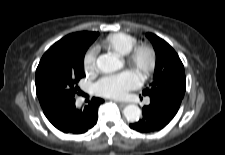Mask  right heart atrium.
Returning a JSON list of instances; mask_svg holds the SVG:
<instances>
[{"label":"right heart atrium","mask_w":225,"mask_h":155,"mask_svg":"<svg viewBox=\"0 0 225 155\" xmlns=\"http://www.w3.org/2000/svg\"><path fill=\"white\" fill-rule=\"evenodd\" d=\"M96 66V52L90 49L84 58V69L86 72H92Z\"/></svg>","instance_id":"right-heart-atrium-1"}]
</instances>
